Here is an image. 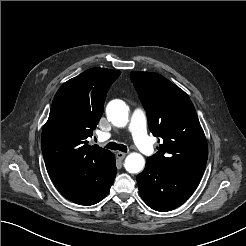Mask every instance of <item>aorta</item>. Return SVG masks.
Instances as JSON below:
<instances>
[{
  "label": "aorta",
  "instance_id": "aorta-1",
  "mask_svg": "<svg viewBox=\"0 0 246 246\" xmlns=\"http://www.w3.org/2000/svg\"><path fill=\"white\" fill-rule=\"evenodd\" d=\"M108 120L114 126L124 127L129 121V109L125 102L121 100H113L106 107ZM145 166V159L140 153H130L127 155L124 163L126 171L132 174L140 173Z\"/></svg>",
  "mask_w": 246,
  "mask_h": 246
}]
</instances>
